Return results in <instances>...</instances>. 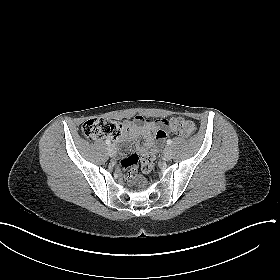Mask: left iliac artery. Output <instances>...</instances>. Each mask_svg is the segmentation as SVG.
<instances>
[{
    "label": "left iliac artery",
    "instance_id": "obj_1",
    "mask_svg": "<svg viewBox=\"0 0 280 280\" xmlns=\"http://www.w3.org/2000/svg\"><path fill=\"white\" fill-rule=\"evenodd\" d=\"M172 144V140L171 139H168L167 140V145H171Z\"/></svg>",
    "mask_w": 280,
    "mask_h": 280
}]
</instances>
